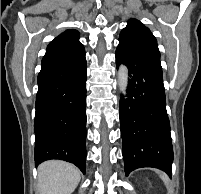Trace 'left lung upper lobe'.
Masks as SVG:
<instances>
[{"label": "left lung upper lobe", "mask_w": 201, "mask_h": 194, "mask_svg": "<svg viewBox=\"0 0 201 194\" xmlns=\"http://www.w3.org/2000/svg\"><path fill=\"white\" fill-rule=\"evenodd\" d=\"M119 45L125 48L160 59L157 40L151 31L140 21L131 19L121 31Z\"/></svg>", "instance_id": "5c2ea615"}]
</instances>
